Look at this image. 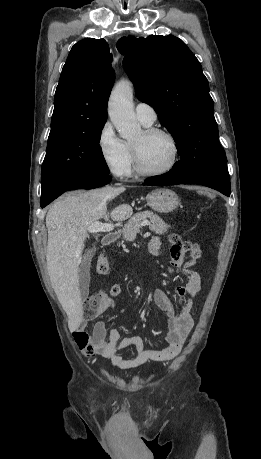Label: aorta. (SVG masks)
Masks as SVG:
<instances>
[{"label": "aorta", "instance_id": "aorta-1", "mask_svg": "<svg viewBox=\"0 0 261 459\" xmlns=\"http://www.w3.org/2000/svg\"><path fill=\"white\" fill-rule=\"evenodd\" d=\"M109 117L124 139H133L141 132L133 109V88L128 81L119 82L111 92L108 102Z\"/></svg>", "mask_w": 261, "mask_h": 459}]
</instances>
